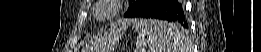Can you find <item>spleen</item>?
<instances>
[{"label": "spleen", "instance_id": "obj_1", "mask_svg": "<svg viewBox=\"0 0 261 52\" xmlns=\"http://www.w3.org/2000/svg\"><path fill=\"white\" fill-rule=\"evenodd\" d=\"M141 52H177L183 46V35L172 23L140 19L133 23ZM172 33L170 38L166 35Z\"/></svg>", "mask_w": 261, "mask_h": 52}]
</instances>
